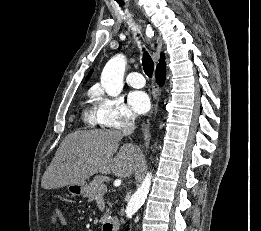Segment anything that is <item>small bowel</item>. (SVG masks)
I'll list each match as a JSON object with an SVG mask.
<instances>
[{
    "label": "small bowel",
    "instance_id": "1",
    "mask_svg": "<svg viewBox=\"0 0 261 231\" xmlns=\"http://www.w3.org/2000/svg\"><path fill=\"white\" fill-rule=\"evenodd\" d=\"M49 221L51 225L59 224L64 226L66 224V220L61 212L52 213L49 217Z\"/></svg>",
    "mask_w": 261,
    "mask_h": 231
}]
</instances>
